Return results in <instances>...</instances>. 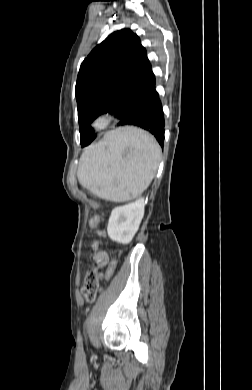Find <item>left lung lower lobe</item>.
I'll return each instance as SVG.
<instances>
[{"mask_svg": "<svg viewBox=\"0 0 252 390\" xmlns=\"http://www.w3.org/2000/svg\"><path fill=\"white\" fill-rule=\"evenodd\" d=\"M118 125H133L152 133L161 147L164 145V113L159 94L156 91L155 75H152L122 106L116 116ZM96 137L90 124L85 126L80 137L82 147L87 146Z\"/></svg>", "mask_w": 252, "mask_h": 390, "instance_id": "1", "label": "left lung lower lobe"}]
</instances>
